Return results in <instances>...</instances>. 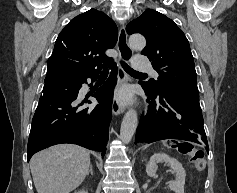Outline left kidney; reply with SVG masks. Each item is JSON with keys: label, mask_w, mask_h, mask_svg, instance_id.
I'll list each match as a JSON object with an SVG mask.
<instances>
[{"label": "left kidney", "mask_w": 237, "mask_h": 193, "mask_svg": "<svg viewBox=\"0 0 237 193\" xmlns=\"http://www.w3.org/2000/svg\"><path fill=\"white\" fill-rule=\"evenodd\" d=\"M163 162L170 166L176 173V179L170 182L169 188L175 193H184V184L186 176L185 170L178 160H176L175 158H171L167 154L156 153L150 158V161L146 166L147 175L150 177H154L158 168L157 164Z\"/></svg>", "instance_id": "obj_1"}]
</instances>
